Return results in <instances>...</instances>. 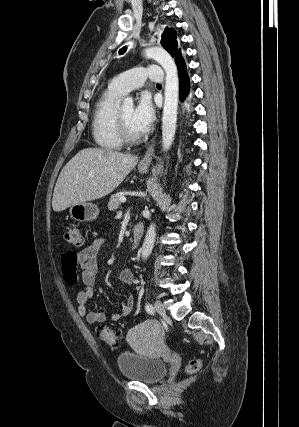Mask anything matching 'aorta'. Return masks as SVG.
<instances>
[{
    "instance_id": "1",
    "label": "aorta",
    "mask_w": 299,
    "mask_h": 427,
    "mask_svg": "<svg viewBox=\"0 0 299 427\" xmlns=\"http://www.w3.org/2000/svg\"><path fill=\"white\" fill-rule=\"evenodd\" d=\"M147 58L157 61L166 73L165 77V100L162 116V143L163 150L168 151L174 141L177 109L179 100V77L177 66L171 55L161 47H150L144 50ZM123 106L128 109L133 108V99L127 97L124 99ZM156 237V225L151 223L141 248V256L147 259L152 252Z\"/></svg>"
}]
</instances>
